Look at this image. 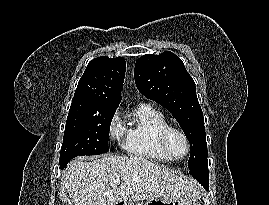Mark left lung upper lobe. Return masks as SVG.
I'll list each match as a JSON object with an SVG mask.
<instances>
[{
  "mask_svg": "<svg viewBox=\"0 0 269 205\" xmlns=\"http://www.w3.org/2000/svg\"><path fill=\"white\" fill-rule=\"evenodd\" d=\"M138 90L171 112L191 146L188 170L207 163V144L203 112L195 83L182 60L170 51L141 56L135 65Z\"/></svg>",
  "mask_w": 269,
  "mask_h": 205,
  "instance_id": "left-lung-upper-lobe-1",
  "label": "left lung upper lobe"
}]
</instances>
